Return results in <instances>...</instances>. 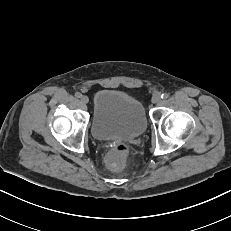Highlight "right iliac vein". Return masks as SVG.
Listing matches in <instances>:
<instances>
[{
    "label": "right iliac vein",
    "instance_id": "63e3f726",
    "mask_svg": "<svg viewBox=\"0 0 231 231\" xmlns=\"http://www.w3.org/2000/svg\"><path fill=\"white\" fill-rule=\"evenodd\" d=\"M81 101H82V103L87 104V103L89 102L88 96L83 95V96L81 97Z\"/></svg>",
    "mask_w": 231,
    "mask_h": 231
}]
</instances>
